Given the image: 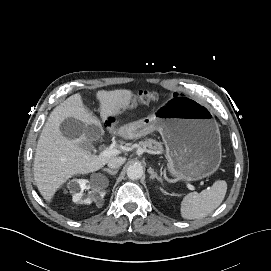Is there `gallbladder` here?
<instances>
[{
  "label": "gallbladder",
  "mask_w": 271,
  "mask_h": 271,
  "mask_svg": "<svg viewBox=\"0 0 271 271\" xmlns=\"http://www.w3.org/2000/svg\"><path fill=\"white\" fill-rule=\"evenodd\" d=\"M60 131L65 138L76 140L82 135L85 137L97 135L100 133V128L96 124L87 125L77 119L67 118L61 123ZM81 146L85 149L90 148L87 143H82Z\"/></svg>",
  "instance_id": "obj_1"
}]
</instances>
